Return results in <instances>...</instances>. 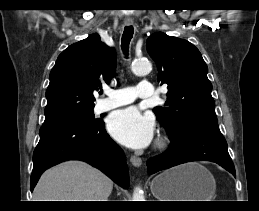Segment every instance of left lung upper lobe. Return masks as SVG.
<instances>
[{
  "label": "left lung upper lobe",
  "instance_id": "1",
  "mask_svg": "<svg viewBox=\"0 0 259 211\" xmlns=\"http://www.w3.org/2000/svg\"><path fill=\"white\" fill-rule=\"evenodd\" d=\"M147 51L158 69V82L168 84L166 105L153 109L170 140L186 130H219L208 68L199 50L187 40L163 32L151 35Z\"/></svg>",
  "mask_w": 259,
  "mask_h": 211
}]
</instances>
